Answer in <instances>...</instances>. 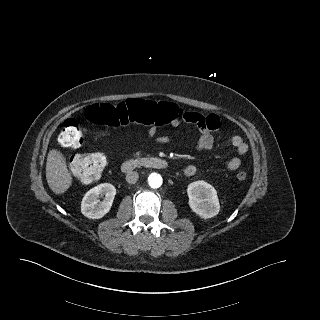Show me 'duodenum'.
I'll return each instance as SVG.
<instances>
[{"instance_id":"1","label":"duodenum","mask_w":320,"mask_h":320,"mask_svg":"<svg viewBox=\"0 0 320 320\" xmlns=\"http://www.w3.org/2000/svg\"><path fill=\"white\" fill-rule=\"evenodd\" d=\"M168 166V162L165 159L149 157L126 160L121 168L123 172H129L138 168L166 169Z\"/></svg>"}]
</instances>
